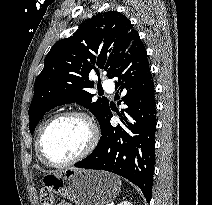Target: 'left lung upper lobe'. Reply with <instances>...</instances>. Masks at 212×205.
Instances as JSON below:
<instances>
[{
    "instance_id": "obj_1",
    "label": "left lung upper lobe",
    "mask_w": 212,
    "mask_h": 205,
    "mask_svg": "<svg viewBox=\"0 0 212 205\" xmlns=\"http://www.w3.org/2000/svg\"><path fill=\"white\" fill-rule=\"evenodd\" d=\"M130 20L117 11L96 15L73 36L56 42L37 76L34 97L29 107V129L35 127L45 112L55 106L76 102L88 108L99 124L109 108L107 98L92 102L90 73L106 71L107 77L118 67L133 40L138 36Z\"/></svg>"
}]
</instances>
